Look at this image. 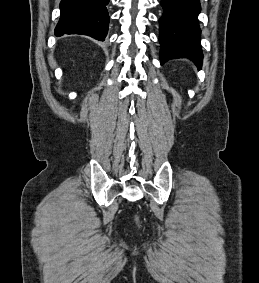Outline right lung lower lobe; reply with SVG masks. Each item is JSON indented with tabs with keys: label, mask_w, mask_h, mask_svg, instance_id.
Instances as JSON below:
<instances>
[{
	"label": "right lung lower lobe",
	"mask_w": 259,
	"mask_h": 283,
	"mask_svg": "<svg viewBox=\"0 0 259 283\" xmlns=\"http://www.w3.org/2000/svg\"><path fill=\"white\" fill-rule=\"evenodd\" d=\"M109 0H62L55 35L83 34L104 41L108 32Z\"/></svg>",
	"instance_id": "obj_1"
}]
</instances>
